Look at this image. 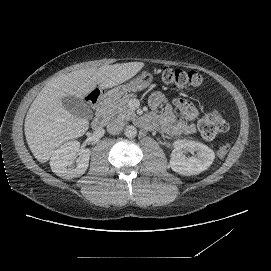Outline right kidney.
Wrapping results in <instances>:
<instances>
[{
  "mask_svg": "<svg viewBox=\"0 0 271 271\" xmlns=\"http://www.w3.org/2000/svg\"><path fill=\"white\" fill-rule=\"evenodd\" d=\"M79 151L80 143L76 140L66 142L56 149L50 158L52 172L67 180L83 175L88 168L91 152L89 149Z\"/></svg>",
  "mask_w": 271,
  "mask_h": 271,
  "instance_id": "right-kidney-1",
  "label": "right kidney"
}]
</instances>
